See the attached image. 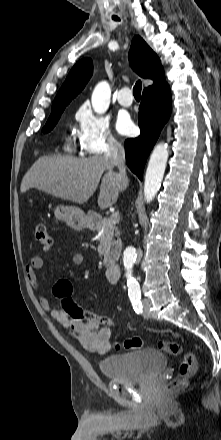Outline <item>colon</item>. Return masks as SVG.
I'll list each match as a JSON object with an SVG mask.
<instances>
[{
	"mask_svg": "<svg viewBox=\"0 0 221 440\" xmlns=\"http://www.w3.org/2000/svg\"><path fill=\"white\" fill-rule=\"evenodd\" d=\"M34 235L39 244L45 247L51 246L52 239L44 224H36ZM72 292V284L68 280H60L53 287V293L60 300L59 306L63 314L66 315L67 321H78L79 318H84L85 321H94L95 324H102L104 329L118 327V320L113 318L112 315H102L101 312H89V309H83V304L79 303L76 297H72ZM143 346L144 342L141 338L133 337L126 339L122 343H115L114 348L116 350H133L140 349ZM158 347L163 352L181 357L182 359L179 368V377L168 385V389L177 390L185 387L189 380L197 373V360L195 355L176 342H159Z\"/></svg>",
	"mask_w": 221,
	"mask_h": 440,
	"instance_id": "1",
	"label": "colon"
}]
</instances>
